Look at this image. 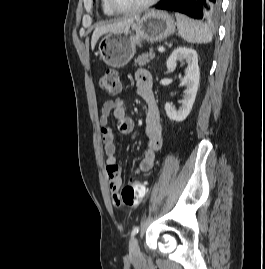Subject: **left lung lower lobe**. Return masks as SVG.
Returning a JSON list of instances; mask_svg holds the SVG:
<instances>
[{"mask_svg":"<svg viewBox=\"0 0 265 269\" xmlns=\"http://www.w3.org/2000/svg\"><path fill=\"white\" fill-rule=\"evenodd\" d=\"M221 0H165L157 9L176 11L194 19L213 21L220 13Z\"/></svg>","mask_w":265,"mask_h":269,"instance_id":"0a47b994","label":"left lung lower lobe"}]
</instances>
